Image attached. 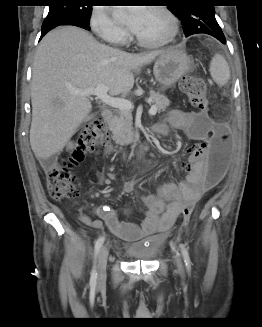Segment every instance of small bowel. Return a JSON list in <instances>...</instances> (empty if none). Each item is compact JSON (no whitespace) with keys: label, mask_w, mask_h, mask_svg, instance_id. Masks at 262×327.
I'll return each instance as SVG.
<instances>
[{"label":"small bowel","mask_w":262,"mask_h":327,"mask_svg":"<svg viewBox=\"0 0 262 327\" xmlns=\"http://www.w3.org/2000/svg\"><path fill=\"white\" fill-rule=\"evenodd\" d=\"M214 124L220 123L214 122L204 112L174 111L169 117V125L182 130L191 140L208 142L212 135H217L213 128ZM154 130L163 135L167 133L168 127L166 124H158ZM205 159V153H188L187 159H176L175 165L179 170H185L188 176L180 182L163 183L157 193L144 194L141 198L142 205L138 207V211L143 214L140 224L121 221L117 212L107 205L96 208L98 219L81 214L82 222L95 230H101L106 225L113 235L123 240H136L168 230L181 214V208L185 206L187 200H194L196 203L208 188L209 185H204L207 168L204 163L197 164V160ZM97 181L104 183L103 174H97ZM133 188L132 182H126L123 186L125 192H131Z\"/></svg>","instance_id":"small-bowel-1"}]
</instances>
